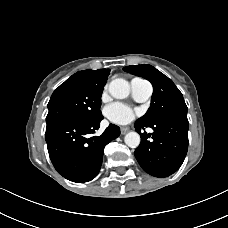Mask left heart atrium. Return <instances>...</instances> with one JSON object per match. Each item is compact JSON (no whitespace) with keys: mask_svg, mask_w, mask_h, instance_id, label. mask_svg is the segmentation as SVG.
<instances>
[{"mask_svg":"<svg viewBox=\"0 0 228 228\" xmlns=\"http://www.w3.org/2000/svg\"><path fill=\"white\" fill-rule=\"evenodd\" d=\"M105 113L108 119L114 123L128 124L136 117L138 111L125 104L116 102L108 105L105 108Z\"/></svg>","mask_w":228,"mask_h":228,"instance_id":"39dd6f15","label":"left heart atrium"}]
</instances>
